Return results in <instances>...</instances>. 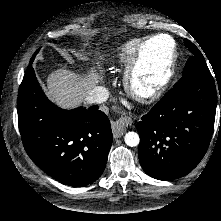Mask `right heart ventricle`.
Segmentation results:
<instances>
[{
    "instance_id": "1",
    "label": "right heart ventricle",
    "mask_w": 221,
    "mask_h": 221,
    "mask_svg": "<svg viewBox=\"0 0 221 221\" xmlns=\"http://www.w3.org/2000/svg\"><path fill=\"white\" fill-rule=\"evenodd\" d=\"M141 41L135 38L118 43L112 55V66H127Z\"/></svg>"
}]
</instances>
